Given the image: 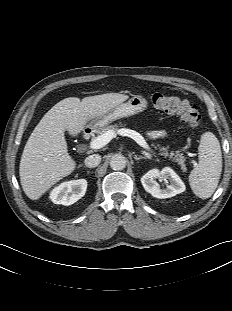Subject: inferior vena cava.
<instances>
[{
  "label": "inferior vena cava",
  "mask_w": 232,
  "mask_h": 311,
  "mask_svg": "<svg viewBox=\"0 0 232 311\" xmlns=\"http://www.w3.org/2000/svg\"><path fill=\"white\" fill-rule=\"evenodd\" d=\"M101 162V156L98 154L88 156L84 163L89 168L97 167Z\"/></svg>",
  "instance_id": "1"
}]
</instances>
